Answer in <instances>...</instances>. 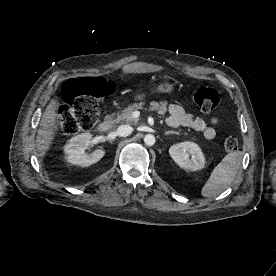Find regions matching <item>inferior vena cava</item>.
<instances>
[{"label":"inferior vena cava","instance_id":"inferior-vena-cava-1","mask_svg":"<svg viewBox=\"0 0 276 276\" xmlns=\"http://www.w3.org/2000/svg\"><path fill=\"white\" fill-rule=\"evenodd\" d=\"M133 131V128L130 125H120L117 128V134L120 137H126L128 135H130Z\"/></svg>","mask_w":276,"mask_h":276}]
</instances>
